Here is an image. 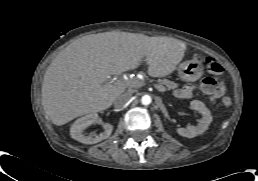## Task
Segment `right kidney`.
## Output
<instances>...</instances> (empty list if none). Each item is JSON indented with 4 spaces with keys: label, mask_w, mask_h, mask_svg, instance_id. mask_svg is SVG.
I'll return each mask as SVG.
<instances>
[{
    "label": "right kidney",
    "mask_w": 258,
    "mask_h": 181,
    "mask_svg": "<svg viewBox=\"0 0 258 181\" xmlns=\"http://www.w3.org/2000/svg\"><path fill=\"white\" fill-rule=\"evenodd\" d=\"M95 123H98V115L96 113H90L77 119L70 128L71 137L83 144H95L107 139L113 130V126L109 123L103 124L104 131L99 135H84V130Z\"/></svg>",
    "instance_id": "obj_1"
}]
</instances>
